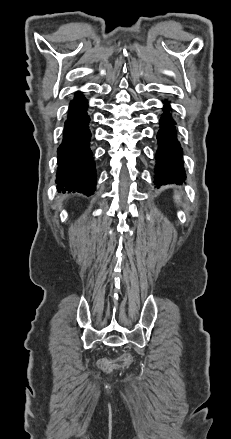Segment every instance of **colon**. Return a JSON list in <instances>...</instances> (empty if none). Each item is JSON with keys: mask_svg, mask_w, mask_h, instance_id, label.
Listing matches in <instances>:
<instances>
[{"mask_svg": "<svg viewBox=\"0 0 231 439\" xmlns=\"http://www.w3.org/2000/svg\"><path fill=\"white\" fill-rule=\"evenodd\" d=\"M133 358L130 354L125 353L121 357L116 359H104L98 364L99 368L105 372H110L115 369L128 367L131 365Z\"/></svg>", "mask_w": 231, "mask_h": 439, "instance_id": "5ec220e1", "label": "colon"}]
</instances>
